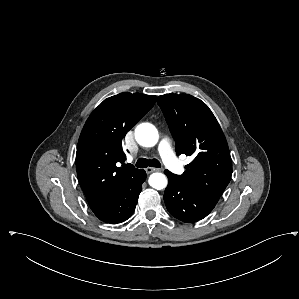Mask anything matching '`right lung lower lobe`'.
<instances>
[{"mask_svg":"<svg viewBox=\"0 0 299 299\" xmlns=\"http://www.w3.org/2000/svg\"><path fill=\"white\" fill-rule=\"evenodd\" d=\"M146 172L139 170L129 179L107 202L93 211L95 215L107 223H121L134 212Z\"/></svg>","mask_w":299,"mask_h":299,"instance_id":"98d812e1","label":"right lung lower lobe"}]
</instances>
